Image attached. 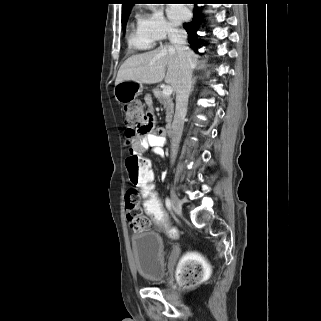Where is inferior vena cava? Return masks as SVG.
<instances>
[{
	"label": "inferior vena cava",
	"instance_id": "obj_1",
	"mask_svg": "<svg viewBox=\"0 0 321 321\" xmlns=\"http://www.w3.org/2000/svg\"><path fill=\"white\" fill-rule=\"evenodd\" d=\"M168 38L176 49L180 62V76L175 89L176 109L171 134V162L173 163L177 155L187 112L192 83V60L189 48L186 45L187 33L184 30L170 29L168 31Z\"/></svg>",
	"mask_w": 321,
	"mask_h": 321
}]
</instances>
